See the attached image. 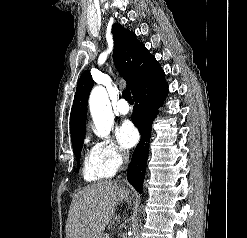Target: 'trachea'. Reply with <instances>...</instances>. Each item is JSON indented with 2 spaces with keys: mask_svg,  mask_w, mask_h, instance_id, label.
<instances>
[{
  "mask_svg": "<svg viewBox=\"0 0 247 238\" xmlns=\"http://www.w3.org/2000/svg\"><path fill=\"white\" fill-rule=\"evenodd\" d=\"M122 95H123L124 99L126 101H128L129 103H133L134 102L129 90H124L123 93H122Z\"/></svg>",
  "mask_w": 247,
  "mask_h": 238,
  "instance_id": "1",
  "label": "trachea"
}]
</instances>
